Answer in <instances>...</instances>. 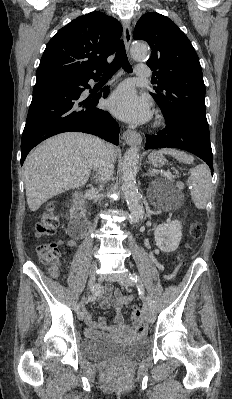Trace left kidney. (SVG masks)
Returning <instances> with one entry per match:
<instances>
[{
	"instance_id": "obj_1",
	"label": "left kidney",
	"mask_w": 232,
	"mask_h": 399,
	"mask_svg": "<svg viewBox=\"0 0 232 399\" xmlns=\"http://www.w3.org/2000/svg\"><path fill=\"white\" fill-rule=\"evenodd\" d=\"M182 223L174 219L171 223H160L155 227L154 235L156 245L162 251H174L177 249L182 237Z\"/></svg>"
}]
</instances>
